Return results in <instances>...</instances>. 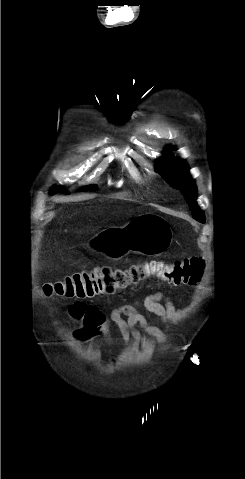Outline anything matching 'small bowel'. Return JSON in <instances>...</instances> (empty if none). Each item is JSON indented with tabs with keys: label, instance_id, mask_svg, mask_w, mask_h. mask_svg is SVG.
Masks as SVG:
<instances>
[{
	"label": "small bowel",
	"instance_id": "obj_1",
	"mask_svg": "<svg viewBox=\"0 0 245 479\" xmlns=\"http://www.w3.org/2000/svg\"><path fill=\"white\" fill-rule=\"evenodd\" d=\"M140 307L160 318L163 322H170L179 319L183 309L164 298L160 293L146 296L140 304L122 305L113 309L108 316H105L95 305H85L86 320L94 334L102 335L106 341H111L110 326L116 325L124 343L133 340L145 346L141 330L148 336L154 338L159 344L165 341L161 330L150 325L146 317L140 312ZM141 329V330H140Z\"/></svg>",
	"mask_w": 245,
	"mask_h": 479
}]
</instances>
